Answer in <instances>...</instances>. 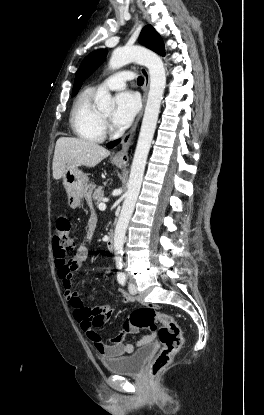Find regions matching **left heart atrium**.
<instances>
[{"label":"left heart atrium","mask_w":264,"mask_h":415,"mask_svg":"<svg viewBox=\"0 0 264 415\" xmlns=\"http://www.w3.org/2000/svg\"><path fill=\"white\" fill-rule=\"evenodd\" d=\"M115 102L112 121L116 127L125 128L132 122L138 112V98L134 93L125 91L116 96Z\"/></svg>","instance_id":"1"}]
</instances>
